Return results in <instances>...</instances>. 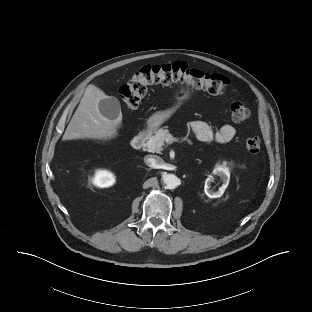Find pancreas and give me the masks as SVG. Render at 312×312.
<instances>
[{
    "instance_id": "obj_1",
    "label": "pancreas",
    "mask_w": 312,
    "mask_h": 312,
    "mask_svg": "<svg viewBox=\"0 0 312 312\" xmlns=\"http://www.w3.org/2000/svg\"><path fill=\"white\" fill-rule=\"evenodd\" d=\"M169 134V130L166 129V127L156 130L154 135L149 136L145 147H147L149 152L161 153L163 146L165 145V140Z\"/></svg>"
}]
</instances>
